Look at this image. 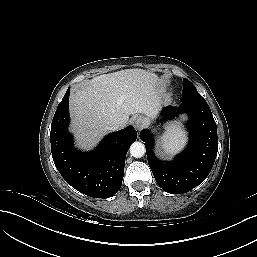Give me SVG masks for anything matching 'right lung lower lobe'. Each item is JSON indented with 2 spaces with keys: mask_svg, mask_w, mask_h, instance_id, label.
<instances>
[{
  "mask_svg": "<svg viewBox=\"0 0 257 257\" xmlns=\"http://www.w3.org/2000/svg\"><path fill=\"white\" fill-rule=\"evenodd\" d=\"M67 90L51 124L50 141L54 164L61 176L73 188L91 197L108 198L122 185L125 157L129 146L136 140L132 126L107 135L92 152L82 153L73 147L68 132Z\"/></svg>",
  "mask_w": 257,
  "mask_h": 257,
  "instance_id": "98d812e1",
  "label": "right lung lower lobe"
}]
</instances>
